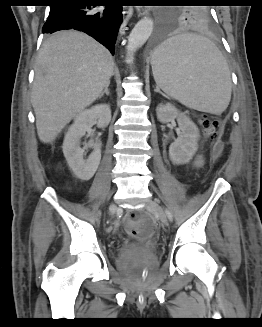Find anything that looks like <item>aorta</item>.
<instances>
[{"instance_id":"aorta-1","label":"aorta","mask_w":262,"mask_h":327,"mask_svg":"<svg viewBox=\"0 0 262 327\" xmlns=\"http://www.w3.org/2000/svg\"><path fill=\"white\" fill-rule=\"evenodd\" d=\"M153 20L145 17L141 19L132 29L127 44L126 62L131 63L134 58L135 52L142 47L150 37L153 31Z\"/></svg>"}]
</instances>
